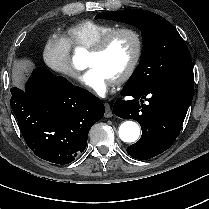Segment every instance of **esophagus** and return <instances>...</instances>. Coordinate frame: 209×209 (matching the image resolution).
Returning a JSON list of instances; mask_svg holds the SVG:
<instances>
[{"label": "esophagus", "mask_w": 209, "mask_h": 209, "mask_svg": "<svg viewBox=\"0 0 209 209\" xmlns=\"http://www.w3.org/2000/svg\"><path fill=\"white\" fill-rule=\"evenodd\" d=\"M105 117L106 118H110L113 116V113H112V110H111V107L108 103H105Z\"/></svg>", "instance_id": "1"}]
</instances>
